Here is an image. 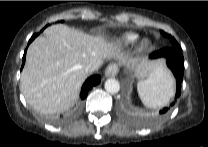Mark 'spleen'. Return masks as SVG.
I'll return each instance as SVG.
<instances>
[{
  "label": "spleen",
  "instance_id": "obj_1",
  "mask_svg": "<svg viewBox=\"0 0 208 147\" xmlns=\"http://www.w3.org/2000/svg\"><path fill=\"white\" fill-rule=\"evenodd\" d=\"M137 91L145 106L162 108L174 96V78L168 70L161 68L148 79L139 81Z\"/></svg>",
  "mask_w": 208,
  "mask_h": 147
}]
</instances>
